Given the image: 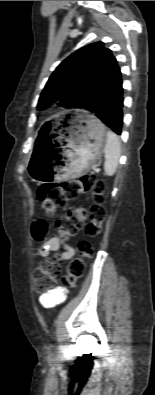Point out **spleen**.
Here are the masks:
<instances>
[{
	"instance_id": "obj_1",
	"label": "spleen",
	"mask_w": 155,
	"mask_h": 395,
	"mask_svg": "<svg viewBox=\"0 0 155 395\" xmlns=\"http://www.w3.org/2000/svg\"><path fill=\"white\" fill-rule=\"evenodd\" d=\"M121 145L119 138L112 131L106 132V144L104 147L105 163L104 170L108 176H112L117 169L120 158Z\"/></svg>"
}]
</instances>
